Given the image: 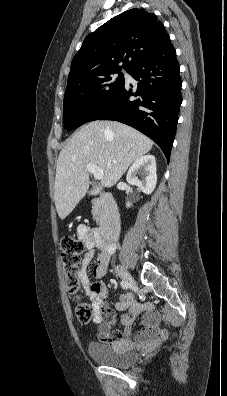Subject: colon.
<instances>
[{
  "mask_svg": "<svg viewBox=\"0 0 227 396\" xmlns=\"http://www.w3.org/2000/svg\"><path fill=\"white\" fill-rule=\"evenodd\" d=\"M84 250L82 241L73 237H64L61 241L60 259L63 272L66 278L67 289L74 295L77 301L75 314L81 323H89L94 314V308L89 303L81 301L78 293L81 289V282L77 276L81 254Z\"/></svg>",
  "mask_w": 227,
  "mask_h": 396,
  "instance_id": "obj_1",
  "label": "colon"
}]
</instances>
